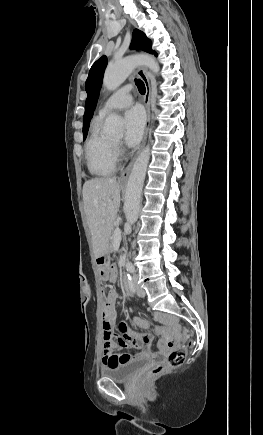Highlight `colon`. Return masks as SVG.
Masks as SVG:
<instances>
[{"label":"colon","mask_w":263,"mask_h":435,"mask_svg":"<svg viewBox=\"0 0 263 435\" xmlns=\"http://www.w3.org/2000/svg\"><path fill=\"white\" fill-rule=\"evenodd\" d=\"M101 297H104V293L101 292ZM105 300V299H104ZM104 303V302H103ZM180 329L182 328V338L188 339V331L187 327H183L181 324L178 326ZM101 335L105 341L102 343L103 350H112L113 343L115 339V330L113 328H102ZM185 358V350L184 349H178L172 351L167 359L163 362H160L153 366L146 374V378L151 379L154 377L159 376L160 374L164 373L167 369L171 367L179 366Z\"/></svg>","instance_id":"5ec220e1"}]
</instances>
